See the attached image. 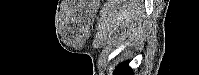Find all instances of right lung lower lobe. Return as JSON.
Returning a JSON list of instances; mask_svg holds the SVG:
<instances>
[{"instance_id": "obj_1", "label": "right lung lower lobe", "mask_w": 199, "mask_h": 75, "mask_svg": "<svg viewBox=\"0 0 199 75\" xmlns=\"http://www.w3.org/2000/svg\"><path fill=\"white\" fill-rule=\"evenodd\" d=\"M114 75H132V69L128 67V63L125 62L115 69Z\"/></svg>"}]
</instances>
